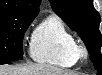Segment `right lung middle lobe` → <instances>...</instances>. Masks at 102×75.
Wrapping results in <instances>:
<instances>
[{"instance_id": "1", "label": "right lung middle lobe", "mask_w": 102, "mask_h": 75, "mask_svg": "<svg viewBox=\"0 0 102 75\" xmlns=\"http://www.w3.org/2000/svg\"><path fill=\"white\" fill-rule=\"evenodd\" d=\"M35 17L36 15L0 11V62L22 59L23 36Z\"/></svg>"}]
</instances>
